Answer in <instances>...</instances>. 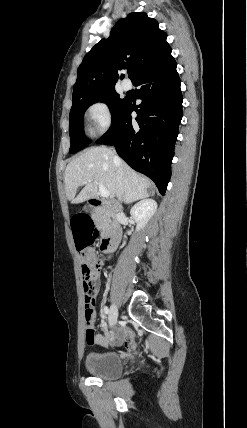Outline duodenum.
Returning <instances> with one entry per match:
<instances>
[{
  "label": "duodenum",
  "instance_id": "1",
  "mask_svg": "<svg viewBox=\"0 0 247 428\" xmlns=\"http://www.w3.org/2000/svg\"><path fill=\"white\" fill-rule=\"evenodd\" d=\"M91 204L95 207H102L107 211L111 212L112 206L108 201L93 198L91 199ZM122 236V230L119 224L113 223L110 225L107 233L101 241L100 248L102 251H112L116 249L120 243Z\"/></svg>",
  "mask_w": 247,
  "mask_h": 428
}]
</instances>
